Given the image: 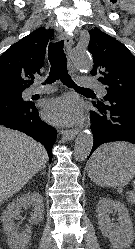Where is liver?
Returning a JSON list of instances; mask_svg holds the SVG:
<instances>
[{
    "mask_svg": "<svg viewBox=\"0 0 135 249\" xmlns=\"http://www.w3.org/2000/svg\"><path fill=\"white\" fill-rule=\"evenodd\" d=\"M47 160L42 144L0 126V203L19 192Z\"/></svg>",
    "mask_w": 135,
    "mask_h": 249,
    "instance_id": "6515ba94",
    "label": "liver"
}]
</instances>
